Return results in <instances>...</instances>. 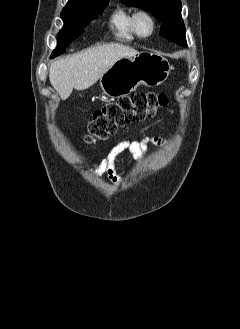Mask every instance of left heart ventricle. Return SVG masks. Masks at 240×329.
Masks as SVG:
<instances>
[{
	"label": "left heart ventricle",
	"instance_id": "left-heart-ventricle-1",
	"mask_svg": "<svg viewBox=\"0 0 240 329\" xmlns=\"http://www.w3.org/2000/svg\"><path fill=\"white\" fill-rule=\"evenodd\" d=\"M150 25L147 20H141L140 22V29L142 32L146 33L149 31Z\"/></svg>",
	"mask_w": 240,
	"mask_h": 329
}]
</instances>
